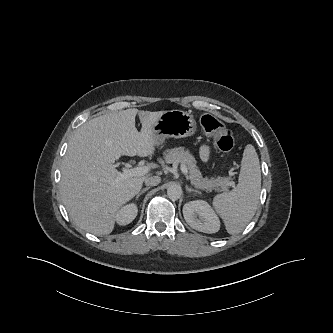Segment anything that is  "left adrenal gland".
I'll return each mask as SVG.
<instances>
[{
    "label": "left adrenal gland",
    "mask_w": 333,
    "mask_h": 333,
    "mask_svg": "<svg viewBox=\"0 0 333 333\" xmlns=\"http://www.w3.org/2000/svg\"><path fill=\"white\" fill-rule=\"evenodd\" d=\"M185 188H186V191H187V192H195V193H198V194L201 193V192L198 191V190H195V189H192V188L188 187V185H186Z\"/></svg>",
    "instance_id": "obj_1"
}]
</instances>
